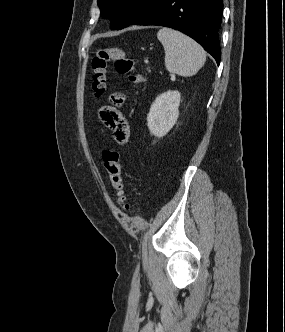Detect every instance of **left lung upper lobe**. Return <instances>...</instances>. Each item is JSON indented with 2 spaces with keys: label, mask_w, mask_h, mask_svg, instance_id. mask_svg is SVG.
Segmentation results:
<instances>
[{
  "label": "left lung upper lobe",
  "mask_w": 285,
  "mask_h": 332,
  "mask_svg": "<svg viewBox=\"0 0 285 332\" xmlns=\"http://www.w3.org/2000/svg\"><path fill=\"white\" fill-rule=\"evenodd\" d=\"M100 15L111 19L112 29H122L140 18L156 0H97Z\"/></svg>",
  "instance_id": "1"
}]
</instances>
